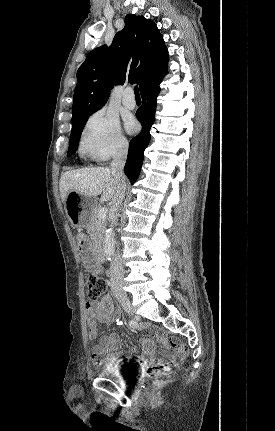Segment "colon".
Wrapping results in <instances>:
<instances>
[{"instance_id":"colon-1","label":"colon","mask_w":275,"mask_h":431,"mask_svg":"<svg viewBox=\"0 0 275 431\" xmlns=\"http://www.w3.org/2000/svg\"><path fill=\"white\" fill-rule=\"evenodd\" d=\"M88 297L90 300L95 301L105 291V281L96 273H88L86 276ZM187 348L182 345V353L185 355ZM164 371H166V363L157 364L149 368L148 374L155 378H158ZM158 382V381H157Z\"/></svg>"}]
</instances>
